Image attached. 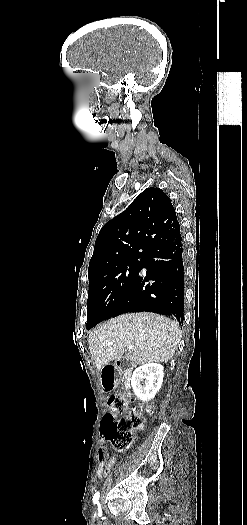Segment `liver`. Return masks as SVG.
Masks as SVG:
<instances>
[{
  "label": "liver",
  "mask_w": 247,
  "mask_h": 525,
  "mask_svg": "<svg viewBox=\"0 0 247 525\" xmlns=\"http://www.w3.org/2000/svg\"><path fill=\"white\" fill-rule=\"evenodd\" d=\"M180 335L179 323L163 315L126 313L96 327L88 343L97 371H101L110 361L124 359L125 347H134L128 349L126 357L133 365L168 363L174 357Z\"/></svg>",
  "instance_id": "1"
}]
</instances>
